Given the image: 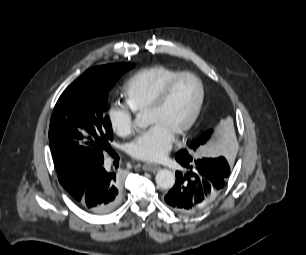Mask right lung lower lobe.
Segmentation results:
<instances>
[{
    "label": "right lung lower lobe",
    "instance_id": "98d812e1",
    "mask_svg": "<svg viewBox=\"0 0 306 255\" xmlns=\"http://www.w3.org/2000/svg\"><path fill=\"white\" fill-rule=\"evenodd\" d=\"M70 194L86 211L108 213L120 202L122 179L119 174L107 172L102 164H94L82 172Z\"/></svg>",
    "mask_w": 306,
    "mask_h": 255
}]
</instances>
